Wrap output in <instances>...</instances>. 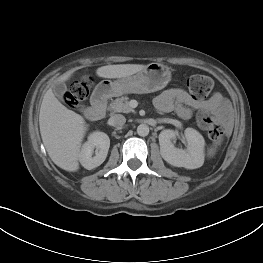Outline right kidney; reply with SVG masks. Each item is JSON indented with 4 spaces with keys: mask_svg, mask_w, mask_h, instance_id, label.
<instances>
[{
    "mask_svg": "<svg viewBox=\"0 0 263 263\" xmlns=\"http://www.w3.org/2000/svg\"><path fill=\"white\" fill-rule=\"evenodd\" d=\"M109 147L110 139L107 134L98 131L91 133L79 152L81 165L88 170L100 166L106 159Z\"/></svg>",
    "mask_w": 263,
    "mask_h": 263,
    "instance_id": "obj_1",
    "label": "right kidney"
}]
</instances>
